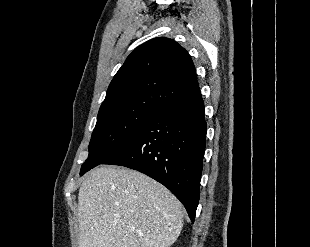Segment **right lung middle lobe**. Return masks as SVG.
I'll use <instances>...</instances> for the list:
<instances>
[{
  "instance_id": "dd1d6c3e",
  "label": "right lung middle lobe",
  "mask_w": 310,
  "mask_h": 247,
  "mask_svg": "<svg viewBox=\"0 0 310 247\" xmlns=\"http://www.w3.org/2000/svg\"><path fill=\"white\" fill-rule=\"evenodd\" d=\"M158 111L150 106H134L98 115L89 143V156L80 175L118 151Z\"/></svg>"
}]
</instances>
